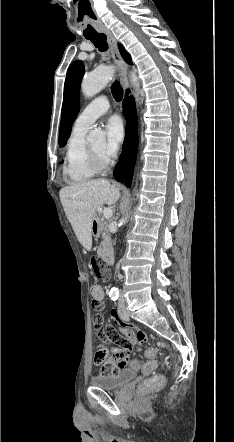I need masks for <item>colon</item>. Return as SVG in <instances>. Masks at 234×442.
<instances>
[{
  "instance_id": "obj_1",
  "label": "colon",
  "mask_w": 234,
  "mask_h": 442,
  "mask_svg": "<svg viewBox=\"0 0 234 442\" xmlns=\"http://www.w3.org/2000/svg\"><path fill=\"white\" fill-rule=\"evenodd\" d=\"M91 266L94 274L99 279L103 281H108L110 279V267L101 257H93L91 259ZM103 299V289L99 285H94L91 289V305L93 309L101 310L103 308ZM97 335L100 337V334L97 333ZM144 354L147 361L142 364L139 360L127 356L129 355V352L120 349L118 346L110 356H107L106 351L100 350L97 352L95 360L102 365L101 372L103 374L119 371L126 366L130 373L141 371L143 374L148 375L155 371L158 366L156 360L157 352L152 346H147V348L144 349ZM140 387L141 389H164L165 379L162 376H154L149 380H141Z\"/></svg>"
}]
</instances>
